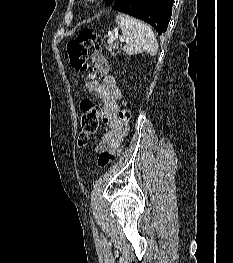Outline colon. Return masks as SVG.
<instances>
[{"label": "colon", "mask_w": 233, "mask_h": 263, "mask_svg": "<svg viewBox=\"0 0 233 263\" xmlns=\"http://www.w3.org/2000/svg\"><path fill=\"white\" fill-rule=\"evenodd\" d=\"M102 46V37L89 28L82 29L78 35L69 40L67 43V53L70 65L73 69L79 72H87L88 65V52L93 49L99 51ZM95 72L90 73L91 77H95ZM119 118L123 123V132L126 136L128 134L130 112L124 107L119 112ZM101 113L98 106L90 99H84L80 103V126L77 143L80 147L87 145L89 138L93 135L100 123ZM121 148L115 152H103L98 158V166L105 167L115 161L119 155Z\"/></svg>", "instance_id": "5ec220e1"}]
</instances>
